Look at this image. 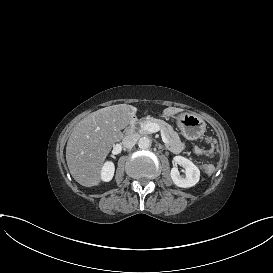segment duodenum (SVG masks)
Masks as SVG:
<instances>
[{
  "instance_id": "410a0bca",
  "label": "duodenum",
  "mask_w": 273,
  "mask_h": 273,
  "mask_svg": "<svg viewBox=\"0 0 273 273\" xmlns=\"http://www.w3.org/2000/svg\"><path fill=\"white\" fill-rule=\"evenodd\" d=\"M135 123H136V119L133 118L128 129H127L128 132H131L134 129Z\"/></svg>"
}]
</instances>
